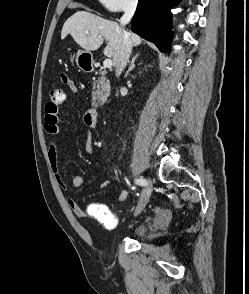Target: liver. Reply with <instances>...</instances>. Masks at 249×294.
<instances>
[{
  "instance_id": "obj_1",
  "label": "liver",
  "mask_w": 249,
  "mask_h": 294,
  "mask_svg": "<svg viewBox=\"0 0 249 294\" xmlns=\"http://www.w3.org/2000/svg\"><path fill=\"white\" fill-rule=\"evenodd\" d=\"M68 34L86 51L97 50L104 39L107 40L108 44L103 53L111 57L113 64L116 65L124 34L118 23L103 19L88 11H77L64 23L61 38L64 39ZM129 36L134 46L141 44L142 39L138 35L129 34Z\"/></svg>"
}]
</instances>
